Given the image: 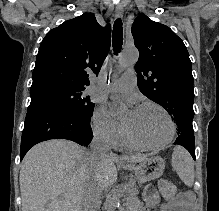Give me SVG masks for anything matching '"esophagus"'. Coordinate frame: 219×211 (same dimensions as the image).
<instances>
[{
    "label": "esophagus",
    "mask_w": 219,
    "mask_h": 211,
    "mask_svg": "<svg viewBox=\"0 0 219 211\" xmlns=\"http://www.w3.org/2000/svg\"><path fill=\"white\" fill-rule=\"evenodd\" d=\"M123 14V7L121 5H117L115 8V16L116 17H121Z\"/></svg>",
    "instance_id": "34e87169"
}]
</instances>
